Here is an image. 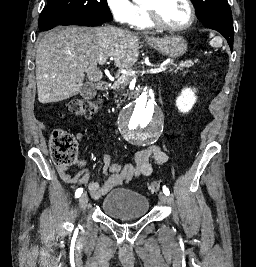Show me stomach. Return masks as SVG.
<instances>
[{
  "label": "stomach",
  "mask_w": 256,
  "mask_h": 267,
  "mask_svg": "<svg viewBox=\"0 0 256 267\" xmlns=\"http://www.w3.org/2000/svg\"><path fill=\"white\" fill-rule=\"evenodd\" d=\"M149 44L156 48L160 54L169 56V58H179L187 50L186 40L182 36H163V38H150Z\"/></svg>",
  "instance_id": "stomach-1"
}]
</instances>
